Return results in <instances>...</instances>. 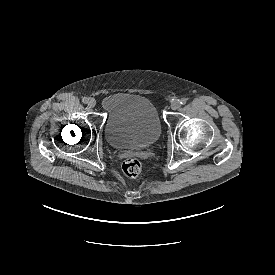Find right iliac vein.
Listing matches in <instances>:
<instances>
[{"label":"right iliac vein","mask_w":275,"mask_h":275,"mask_svg":"<svg viewBox=\"0 0 275 275\" xmlns=\"http://www.w3.org/2000/svg\"><path fill=\"white\" fill-rule=\"evenodd\" d=\"M96 105V100L94 98H90L88 101V106L93 108Z\"/></svg>","instance_id":"obj_1"}]
</instances>
